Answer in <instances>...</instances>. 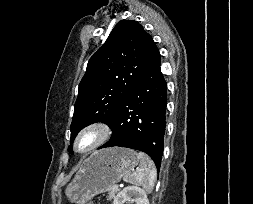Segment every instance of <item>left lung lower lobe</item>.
I'll list each match as a JSON object with an SVG mask.
<instances>
[{
  "mask_svg": "<svg viewBox=\"0 0 253 204\" xmlns=\"http://www.w3.org/2000/svg\"><path fill=\"white\" fill-rule=\"evenodd\" d=\"M156 48L144 73L113 119L111 139L100 148L120 146L147 153L160 168L166 127L167 83Z\"/></svg>",
  "mask_w": 253,
  "mask_h": 204,
  "instance_id": "0a47b994",
  "label": "left lung lower lobe"
}]
</instances>
